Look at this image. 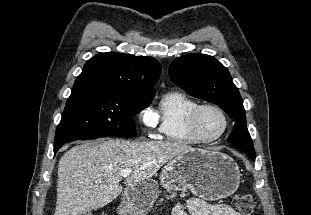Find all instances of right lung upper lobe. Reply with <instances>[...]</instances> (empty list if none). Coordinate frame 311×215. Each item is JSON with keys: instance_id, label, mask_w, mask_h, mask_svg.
I'll list each match as a JSON object with an SVG mask.
<instances>
[{"instance_id": "obj_1", "label": "right lung upper lobe", "mask_w": 311, "mask_h": 215, "mask_svg": "<svg viewBox=\"0 0 311 215\" xmlns=\"http://www.w3.org/2000/svg\"><path fill=\"white\" fill-rule=\"evenodd\" d=\"M161 70L160 63L153 57L99 53L85 63L73 89L93 87L154 97Z\"/></svg>"}]
</instances>
